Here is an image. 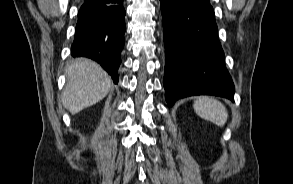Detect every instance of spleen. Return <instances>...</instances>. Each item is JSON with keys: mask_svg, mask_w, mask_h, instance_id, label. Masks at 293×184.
<instances>
[{"mask_svg": "<svg viewBox=\"0 0 293 184\" xmlns=\"http://www.w3.org/2000/svg\"><path fill=\"white\" fill-rule=\"evenodd\" d=\"M195 112L203 119L223 126L228 119V112L225 106L216 99L199 97L193 104Z\"/></svg>", "mask_w": 293, "mask_h": 184, "instance_id": "1", "label": "spleen"}]
</instances>
